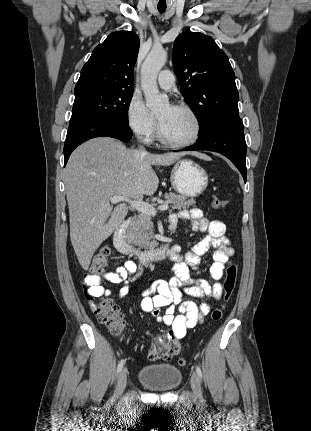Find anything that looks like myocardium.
Masks as SVG:
<instances>
[{
	"mask_svg": "<svg viewBox=\"0 0 311 431\" xmlns=\"http://www.w3.org/2000/svg\"><path fill=\"white\" fill-rule=\"evenodd\" d=\"M175 108H178V109H181V110L188 112L194 118V120L196 122V127H197L195 136L190 141H187V142H177V141L169 140L164 136L161 122L159 119H157V139L163 145L168 146V147H172V148L191 147V146L195 145L199 141V139L201 138V135L203 132V122H202L199 114L197 113V111L194 108H192L191 106H189L187 104H179V105L175 106Z\"/></svg>",
	"mask_w": 311,
	"mask_h": 431,
	"instance_id": "myocardium-1",
	"label": "myocardium"
}]
</instances>
